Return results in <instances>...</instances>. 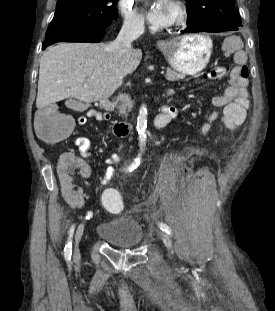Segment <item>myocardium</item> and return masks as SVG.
Instances as JSON below:
<instances>
[{"mask_svg": "<svg viewBox=\"0 0 275 311\" xmlns=\"http://www.w3.org/2000/svg\"><path fill=\"white\" fill-rule=\"evenodd\" d=\"M173 4L177 10V16L173 22L169 24V27L177 28L185 25L188 17V10L186 5L181 0H174Z\"/></svg>", "mask_w": 275, "mask_h": 311, "instance_id": "obj_1", "label": "myocardium"}]
</instances>
